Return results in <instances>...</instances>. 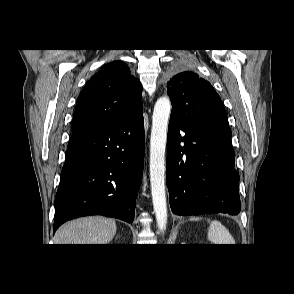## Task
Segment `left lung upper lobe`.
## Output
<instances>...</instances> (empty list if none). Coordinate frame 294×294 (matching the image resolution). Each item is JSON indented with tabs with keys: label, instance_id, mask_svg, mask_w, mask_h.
Here are the masks:
<instances>
[{
	"label": "left lung upper lobe",
	"instance_id": "left-lung-upper-lobe-1",
	"mask_svg": "<svg viewBox=\"0 0 294 294\" xmlns=\"http://www.w3.org/2000/svg\"><path fill=\"white\" fill-rule=\"evenodd\" d=\"M171 114L195 125L228 127L227 114L212 85L192 71L174 75L167 83Z\"/></svg>",
	"mask_w": 294,
	"mask_h": 294
}]
</instances>
